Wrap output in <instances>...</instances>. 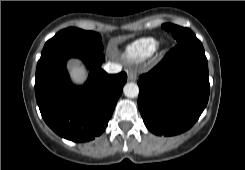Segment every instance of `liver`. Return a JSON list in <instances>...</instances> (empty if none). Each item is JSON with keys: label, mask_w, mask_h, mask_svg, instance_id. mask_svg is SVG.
<instances>
[{"label": "liver", "mask_w": 245, "mask_h": 170, "mask_svg": "<svg viewBox=\"0 0 245 170\" xmlns=\"http://www.w3.org/2000/svg\"><path fill=\"white\" fill-rule=\"evenodd\" d=\"M71 80L73 82L82 83L85 80V67L79 62L74 61L68 67Z\"/></svg>", "instance_id": "6515ba94"}]
</instances>
